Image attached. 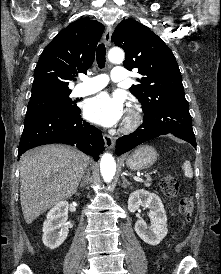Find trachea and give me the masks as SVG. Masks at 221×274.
Instances as JSON below:
<instances>
[{
    "mask_svg": "<svg viewBox=\"0 0 221 274\" xmlns=\"http://www.w3.org/2000/svg\"><path fill=\"white\" fill-rule=\"evenodd\" d=\"M106 48L103 43L99 44L97 47L96 51V60L99 68H104L105 67V62H106Z\"/></svg>",
    "mask_w": 221,
    "mask_h": 274,
    "instance_id": "trachea-1",
    "label": "trachea"
}]
</instances>
